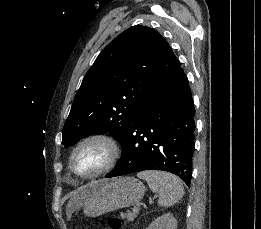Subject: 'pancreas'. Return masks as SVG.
I'll return each instance as SVG.
<instances>
[{
  "instance_id": "pancreas-1",
  "label": "pancreas",
  "mask_w": 261,
  "mask_h": 229,
  "mask_svg": "<svg viewBox=\"0 0 261 229\" xmlns=\"http://www.w3.org/2000/svg\"><path fill=\"white\" fill-rule=\"evenodd\" d=\"M138 215V211L133 209V211H127L125 215H121L122 219H126V221H134Z\"/></svg>"
}]
</instances>
